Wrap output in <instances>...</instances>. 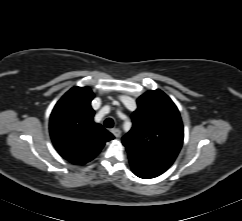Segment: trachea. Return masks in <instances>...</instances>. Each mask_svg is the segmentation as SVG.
I'll use <instances>...</instances> for the list:
<instances>
[{
	"instance_id": "3493384b",
	"label": "trachea",
	"mask_w": 242,
	"mask_h": 221,
	"mask_svg": "<svg viewBox=\"0 0 242 221\" xmlns=\"http://www.w3.org/2000/svg\"><path fill=\"white\" fill-rule=\"evenodd\" d=\"M104 125L105 127L107 128H112L114 126V121L112 118H107L105 121H104Z\"/></svg>"
}]
</instances>
